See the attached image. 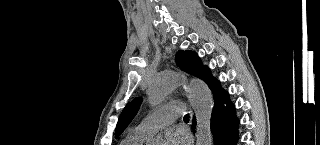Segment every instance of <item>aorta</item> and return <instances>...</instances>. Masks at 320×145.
Returning <instances> with one entry per match:
<instances>
[{"label":"aorta","mask_w":320,"mask_h":145,"mask_svg":"<svg viewBox=\"0 0 320 145\" xmlns=\"http://www.w3.org/2000/svg\"><path fill=\"white\" fill-rule=\"evenodd\" d=\"M182 75L175 71H165L153 77L148 88L151 105L157 106L178 87ZM189 98L197 120V145H211L210 129L213 99L208 86L199 79L190 81Z\"/></svg>","instance_id":"aorta-1"}]
</instances>
